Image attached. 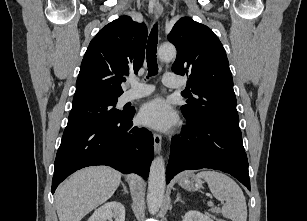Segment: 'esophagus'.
Here are the masks:
<instances>
[{
  "instance_id": "esophagus-1",
  "label": "esophagus",
  "mask_w": 307,
  "mask_h": 221,
  "mask_svg": "<svg viewBox=\"0 0 307 221\" xmlns=\"http://www.w3.org/2000/svg\"><path fill=\"white\" fill-rule=\"evenodd\" d=\"M155 17L159 18L163 13V7L160 4L154 6ZM154 151L156 154L160 153L162 145V137L160 134L154 133Z\"/></svg>"
}]
</instances>
